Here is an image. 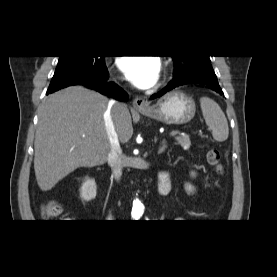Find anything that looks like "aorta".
<instances>
[{"mask_svg":"<svg viewBox=\"0 0 277 277\" xmlns=\"http://www.w3.org/2000/svg\"><path fill=\"white\" fill-rule=\"evenodd\" d=\"M144 212V206L143 204L138 200H134L133 207H132V217L134 219H139Z\"/></svg>","mask_w":277,"mask_h":277,"instance_id":"aorta-1","label":"aorta"}]
</instances>
